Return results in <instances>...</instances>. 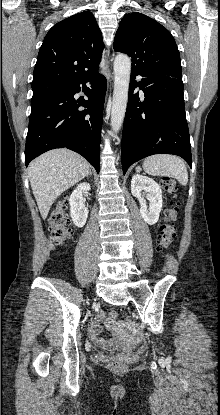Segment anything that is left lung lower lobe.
<instances>
[{
    "mask_svg": "<svg viewBox=\"0 0 220 415\" xmlns=\"http://www.w3.org/2000/svg\"><path fill=\"white\" fill-rule=\"evenodd\" d=\"M141 75L140 82L135 76ZM182 77L131 70L121 159L123 174L134 162L160 153L182 157L192 167ZM136 87L144 92L133 94Z\"/></svg>",
    "mask_w": 220,
    "mask_h": 415,
    "instance_id": "0a47b994",
    "label": "left lung lower lobe"
}]
</instances>
